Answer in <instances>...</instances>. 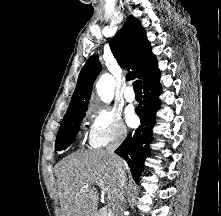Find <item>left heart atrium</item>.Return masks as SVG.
Returning a JSON list of instances; mask_svg holds the SVG:
<instances>
[{
	"mask_svg": "<svg viewBox=\"0 0 221 216\" xmlns=\"http://www.w3.org/2000/svg\"><path fill=\"white\" fill-rule=\"evenodd\" d=\"M126 119H127L128 124L132 127H135L138 123V118L136 114L134 113L133 109H129L126 112Z\"/></svg>",
	"mask_w": 221,
	"mask_h": 216,
	"instance_id": "39dd6f15",
	"label": "left heart atrium"
}]
</instances>
